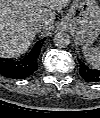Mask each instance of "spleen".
I'll list each match as a JSON object with an SVG mask.
<instances>
[{
	"label": "spleen",
	"mask_w": 100,
	"mask_h": 118,
	"mask_svg": "<svg viewBox=\"0 0 100 118\" xmlns=\"http://www.w3.org/2000/svg\"><path fill=\"white\" fill-rule=\"evenodd\" d=\"M83 55L86 61L94 68L99 69L100 67V48H89L87 46L82 47Z\"/></svg>",
	"instance_id": "spleen-1"
}]
</instances>
